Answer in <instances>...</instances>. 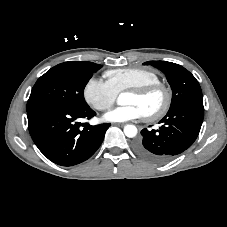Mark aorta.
I'll return each mask as SVG.
<instances>
[{
  "label": "aorta",
  "instance_id": "1",
  "mask_svg": "<svg viewBox=\"0 0 227 227\" xmlns=\"http://www.w3.org/2000/svg\"><path fill=\"white\" fill-rule=\"evenodd\" d=\"M124 134L129 137L133 138L137 135V128L134 125H126L124 127Z\"/></svg>",
  "mask_w": 227,
  "mask_h": 227
}]
</instances>
